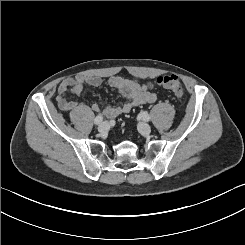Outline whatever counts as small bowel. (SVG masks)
Here are the masks:
<instances>
[{"mask_svg": "<svg viewBox=\"0 0 245 245\" xmlns=\"http://www.w3.org/2000/svg\"><path fill=\"white\" fill-rule=\"evenodd\" d=\"M102 79L95 75L76 76L63 80L58 87L57 104L62 111L69 114L71 121L82 127L92 111H101L108 118H115L121 114L129 113L133 108L151 104L156 101L157 96L153 91V83H141L137 80L127 79L120 76H112L108 84L127 99L125 103L100 106L94 104L92 107L77 103L68 99L69 94L80 95L85 85L98 87Z\"/></svg>", "mask_w": 245, "mask_h": 245, "instance_id": "small-bowel-1", "label": "small bowel"}]
</instances>
